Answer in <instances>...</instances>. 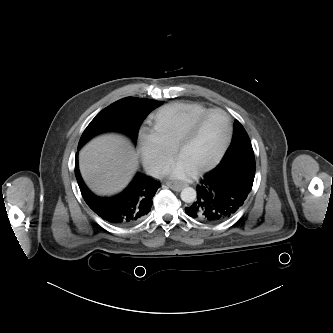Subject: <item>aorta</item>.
<instances>
[{
  "mask_svg": "<svg viewBox=\"0 0 333 333\" xmlns=\"http://www.w3.org/2000/svg\"><path fill=\"white\" fill-rule=\"evenodd\" d=\"M181 199L186 203H192L196 199V191L192 187H186L181 191Z\"/></svg>",
  "mask_w": 333,
  "mask_h": 333,
  "instance_id": "762f6f07",
  "label": "aorta"
}]
</instances>
